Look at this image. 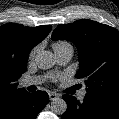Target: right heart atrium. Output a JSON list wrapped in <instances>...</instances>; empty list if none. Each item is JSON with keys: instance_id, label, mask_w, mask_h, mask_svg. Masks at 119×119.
<instances>
[{"instance_id": "1", "label": "right heart atrium", "mask_w": 119, "mask_h": 119, "mask_svg": "<svg viewBox=\"0 0 119 119\" xmlns=\"http://www.w3.org/2000/svg\"><path fill=\"white\" fill-rule=\"evenodd\" d=\"M36 52H37V48H34V49L31 51V53H30V58H31V59L34 58Z\"/></svg>"}]
</instances>
